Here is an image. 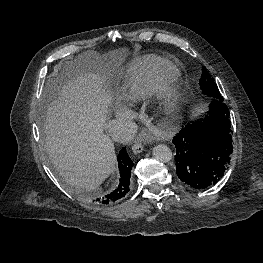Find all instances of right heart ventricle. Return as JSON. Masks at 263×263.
Here are the masks:
<instances>
[{
    "label": "right heart ventricle",
    "instance_id": "e07e8e85",
    "mask_svg": "<svg viewBox=\"0 0 263 263\" xmlns=\"http://www.w3.org/2000/svg\"><path fill=\"white\" fill-rule=\"evenodd\" d=\"M176 74V67L166 60L140 59L134 62L124 75L126 97L131 101L143 100L153 93L160 81Z\"/></svg>",
    "mask_w": 263,
    "mask_h": 263
}]
</instances>
